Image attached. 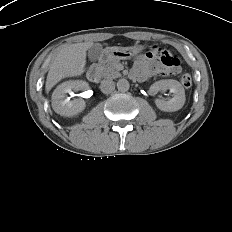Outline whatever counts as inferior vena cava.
I'll return each instance as SVG.
<instances>
[{"label":"inferior vena cava","instance_id":"602c4592","mask_svg":"<svg viewBox=\"0 0 232 232\" xmlns=\"http://www.w3.org/2000/svg\"><path fill=\"white\" fill-rule=\"evenodd\" d=\"M100 89L103 93L109 94L115 89V83L111 79L103 80L100 84Z\"/></svg>","mask_w":232,"mask_h":232}]
</instances>
